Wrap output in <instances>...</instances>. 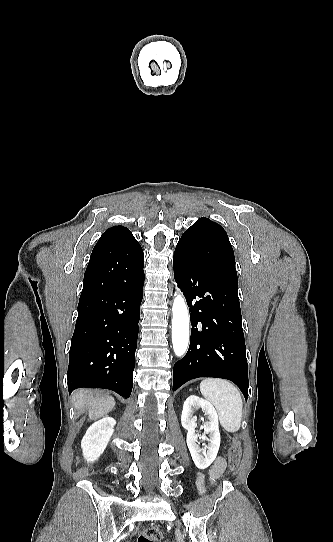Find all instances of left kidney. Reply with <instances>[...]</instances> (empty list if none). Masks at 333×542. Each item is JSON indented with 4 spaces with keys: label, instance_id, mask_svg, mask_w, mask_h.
<instances>
[{
    "label": "left kidney",
    "instance_id": "1",
    "mask_svg": "<svg viewBox=\"0 0 333 542\" xmlns=\"http://www.w3.org/2000/svg\"><path fill=\"white\" fill-rule=\"evenodd\" d=\"M195 408H201L202 412H205V414L208 416L209 422H205L204 430L205 434H210L209 440L206 438V436H196L195 434L197 420L196 418H192L193 410H195ZM181 424L183 428L187 430L186 442L196 468H199V470H205V468H208V466L214 462L221 442L218 416L215 408H213L210 402L203 400V398H198V396H189V398H187L183 404ZM198 438L210 442L209 446L204 448V450H201L198 444H196V442H198Z\"/></svg>",
    "mask_w": 333,
    "mask_h": 542
}]
</instances>
